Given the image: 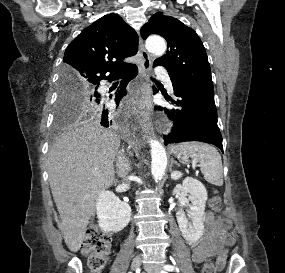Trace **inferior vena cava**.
I'll return each instance as SVG.
<instances>
[{"label":"inferior vena cava","mask_w":285,"mask_h":273,"mask_svg":"<svg viewBox=\"0 0 285 273\" xmlns=\"http://www.w3.org/2000/svg\"><path fill=\"white\" fill-rule=\"evenodd\" d=\"M116 166L119 169L121 176L125 178L128 172L130 171V166L125 157L120 152L119 155L117 156Z\"/></svg>","instance_id":"inferior-vena-cava-1"}]
</instances>
